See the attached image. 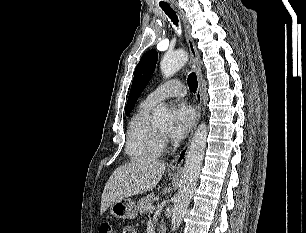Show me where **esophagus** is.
<instances>
[{"label":"esophagus","mask_w":306,"mask_h":233,"mask_svg":"<svg viewBox=\"0 0 306 233\" xmlns=\"http://www.w3.org/2000/svg\"><path fill=\"white\" fill-rule=\"evenodd\" d=\"M179 14L184 24L186 40H187V44H188L189 51H190V66H191V69L196 73L197 80H198V88H197V92L195 95V100H196V120L194 124V129H195L200 120L202 97H203V78H202V73H201V68H200V56H199L196 44L191 34L190 24L188 23L187 19L185 18L184 14L181 11H179ZM194 129L188 139V142L186 143L184 148L171 161V163L169 164V167L171 168L181 167L188 153Z\"/></svg>","instance_id":"1"}]
</instances>
